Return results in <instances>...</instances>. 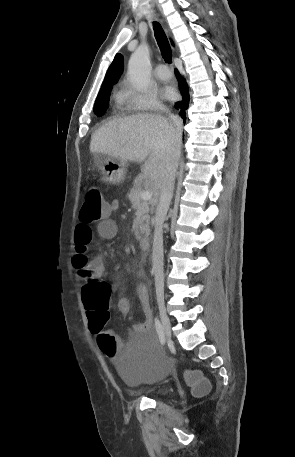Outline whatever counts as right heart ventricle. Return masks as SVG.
Masks as SVG:
<instances>
[{
  "instance_id": "e07e8e85",
  "label": "right heart ventricle",
  "mask_w": 295,
  "mask_h": 457,
  "mask_svg": "<svg viewBox=\"0 0 295 457\" xmlns=\"http://www.w3.org/2000/svg\"><path fill=\"white\" fill-rule=\"evenodd\" d=\"M116 103L118 106H122L124 104V95L123 93L119 92L116 94Z\"/></svg>"
}]
</instances>
